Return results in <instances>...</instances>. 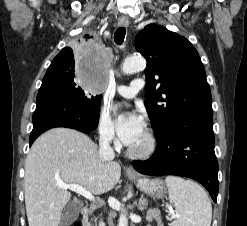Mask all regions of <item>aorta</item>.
Instances as JSON below:
<instances>
[{
  "instance_id": "1",
  "label": "aorta",
  "mask_w": 247,
  "mask_h": 226,
  "mask_svg": "<svg viewBox=\"0 0 247 226\" xmlns=\"http://www.w3.org/2000/svg\"><path fill=\"white\" fill-rule=\"evenodd\" d=\"M146 60L142 56H134L127 58L122 66L124 74H133L139 70L145 69ZM118 226H128V218L125 213L119 217Z\"/></svg>"
}]
</instances>
